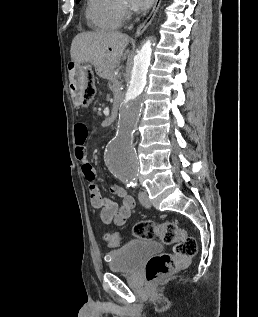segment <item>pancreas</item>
Returning a JSON list of instances; mask_svg holds the SVG:
<instances>
[{"label":"pancreas","mask_w":258,"mask_h":317,"mask_svg":"<svg viewBox=\"0 0 258 317\" xmlns=\"http://www.w3.org/2000/svg\"><path fill=\"white\" fill-rule=\"evenodd\" d=\"M109 82L111 84V89L114 90L115 93H120L121 92V87L118 83V79L116 77H111L109 79Z\"/></svg>","instance_id":"obj_1"}]
</instances>
